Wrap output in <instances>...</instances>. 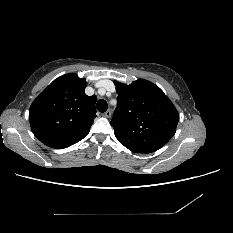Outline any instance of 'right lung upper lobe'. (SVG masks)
I'll list each match as a JSON object with an SVG mask.
<instances>
[{"mask_svg":"<svg viewBox=\"0 0 233 233\" xmlns=\"http://www.w3.org/2000/svg\"><path fill=\"white\" fill-rule=\"evenodd\" d=\"M86 80L77 74L55 79L32 103L29 120L32 132L43 144L67 148L82 140L96 117V96H87Z\"/></svg>","mask_w":233,"mask_h":233,"instance_id":"right-lung-upper-lobe-1","label":"right lung upper lobe"}]
</instances>
